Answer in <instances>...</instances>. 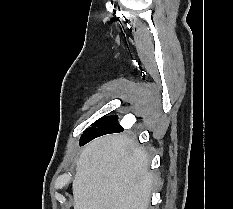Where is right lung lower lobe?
<instances>
[{
    "label": "right lung lower lobe",
    "instance_id": "1",
    "mask_svg": "<svg viewBox=\"0 0 233 209\" xmlns=\"http://www.w3.org/2000/svg\"><path fill=\"white\" fill-rule=\"evenodd\" d=\"M123 128L121 126H115L112 128H107L98 132L93 133L92 135H90L89 137L83 138L80 141V145H84L87 142L91 141L92 139L99 137L101 135H105V134H109V133H118V132H122Z\"/></svg>",
    "mask_w": 233,
    "mask_h": 209
}]
</instances>
